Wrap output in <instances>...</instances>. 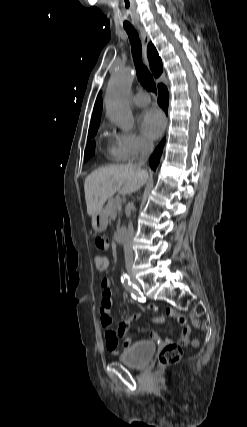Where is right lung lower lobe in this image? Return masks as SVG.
Masks as SVG:
<instances>
[{
  "mask_svg": "<svg viewBox=\"0 0 247 427\" xmlns=\"http://www.w3.org/2000/svg\"><path fill=\"white\" fill-rule=\"evenodd\" d=\"M158 89H159L158 103L163 108L165 113L167 114V112H168V101H169V95H168L167 88L163 84H159ZM164 142H165V139H163L161 141V143L158 145V147L156 148V150L154 151V153L152 154V156L150 158L149 164L153 170L156 169V167L159 163L160 156H161L162 151H163Z\"/></svg>",
  "mask_w": 247,
  "mask_h": 427,
  "instance_id": "right-lung-lower-lobe-1",
  "label": "right lung lower lobe"
}]
</instances>
